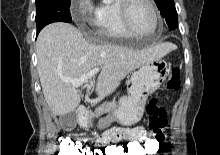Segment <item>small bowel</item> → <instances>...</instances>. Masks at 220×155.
Returning a JSON list of instances; mask_svg holds the SVG:
<instances>
[{
  "instance_id": "c3829d8e",
  "label": "small bowel",
  "mask_w": 220,
  "mask_h": 155,
  "mask_svg": "<svg viewBox=\"0 0 220 155\" xmlns=\"http://www.w3.org/2000/svg\"><path fill=\"white\" fill-rule=\"evenodd\" d=\"M146 135L147 133L145 129L140 126H130L129 129H124L123 126H113L112 130H105V133H101V136H99L96 144H116L117 141H133L134 139H146Z\"/></svg>"
}]
</instances>
